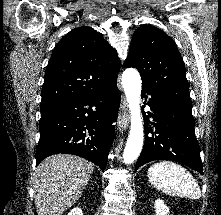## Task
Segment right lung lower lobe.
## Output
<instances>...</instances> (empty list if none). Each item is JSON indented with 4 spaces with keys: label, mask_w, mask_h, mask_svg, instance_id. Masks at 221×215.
I'll return each instance as SVG.
<instances>
[{
    "label": "right lung lower lobe",
    "mask_w": 221,
    "mask_h": 215,
    "mask_svg": "<svg viewBox=\"0 0 221 215\" xmlns=\"http://www.w3.org/2000/svg\"><path fill=\"white\" fill-rule=\"evenodd\" d=\"M117 80L60 107L41 111L36 165L59 153L83 157L106 168L120 106Z\"/></svg>",
    "instance_id": "right-lung-lower-lobe-1"
}]
</instances>
